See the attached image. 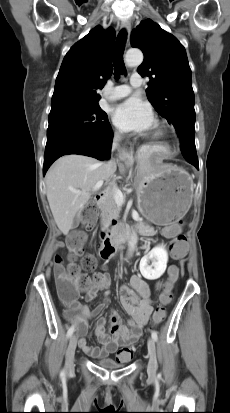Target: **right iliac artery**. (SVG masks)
Segmentation results:
<instances>
[{
	"label": "right iliac artery",
	"mask_w": 230,
	"mask_h": 413,
	"mask_svg": "<svg viewBox=\"0 0 230 413\" xmlns=\"http://www.w3.org/2000/svg\"><path fill=\"white\" fill-rule=\"evenodd\" d=\"M73 332H74V326H71V327L68 329L67 337H70V336L73 334ZM61 374L64 375V371H62Z\"/></svg>",
	"instance_id": "obj_1"
}]
</instances>
